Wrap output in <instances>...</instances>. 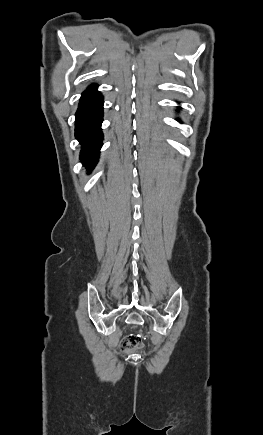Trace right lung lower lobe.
<instances>
[{
  "instance_id": "right-lung-lower-lobe-1",
  "label": "right lung lower lobe",
  "mask_w": 263,
  "mask_h": 435,
  "mask_svg": "<svg viewBox=\"0 0 263 435\" xmlns=\"http://www.w3.org/2000/svg\"><path fill=\"white\" fill-rule=\"evenodd\" d=\"M93 84L83 92L76 112L75 136L82 145L80 160L90 173L102 147L103 97Z\"/></svg>"
}]
</instances>
